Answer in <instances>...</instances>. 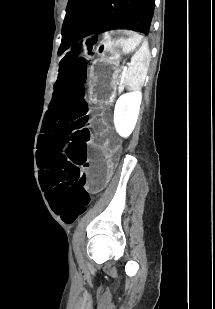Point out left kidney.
Returning a JSON list of instances; mask_svg holds the SVG:
<instances>
[{"label":"left kidney","mask_w":215,"mask_h":309,"mask_svg":"<svg viewBox=\"0 0 215 309\" xmlns=\"http://www.w3.org/2000/svg\"><path fill=\"white\" fill-rule=\"evenodd\" d=\"M141 92H126L119 96L114 108V124L120 136L131 134L138 118Z\"/></svg>","instance_id":"5707ae66"}]
</instances>
